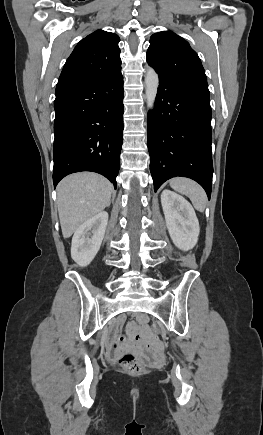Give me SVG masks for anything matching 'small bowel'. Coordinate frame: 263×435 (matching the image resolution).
<instances>
[{"instance_id":"obj_1","label":"small bowel","mask_w":263,"mask_h":435,"mask_svg":"<svg viewBox=\"0 0 263 435\" xmlns=\"http://www.w3.org/2000/svg\"><path fill=\"white\" fill-rule=\"evenodd\" d=\"M137 320L140 324L144 325L148 322V317L145 314H140L137 317ZM132 326L133 329H135V325L133 324ZM144 339L150 341V343L148 344L146 341H142L141 336H132L131 341H128L124 336L120 335L112 344V347L115 350H123L127 348L133 350L140 349L142 356H151L152 361L161 364L164 361L161 354L162 343L161 341H156V332H146L144 334Z\"/></svg>"}]
</instances>
